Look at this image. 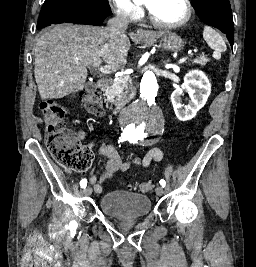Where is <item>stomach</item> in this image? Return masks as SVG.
Wrapping results in <instances>:
<instances>
[{
  "label": "stomach",
  "mask_w": 256,
  "mask_h": 267,
  "mask_svg": "<svg viewBox=\"0 0 256 267\" xmlns=\"http://www.w3.org/2000/svg\"><path fill=\"white\" fill-rule=\"evenodd\" d=\"M140 40H143V38H138V42H140ZM148 40H153V42L157 40L158 44H160L164 50H170V52H180L185 46L184 40H182L180 36H177V34H174V32H169V30L151 34Z\"/></svg>",
  "instance_id": "0dacf381"
}]
</instances>
